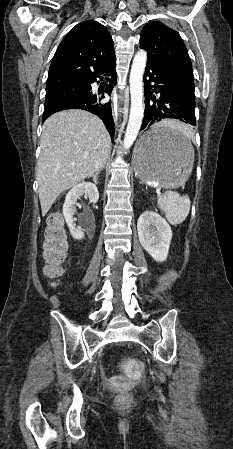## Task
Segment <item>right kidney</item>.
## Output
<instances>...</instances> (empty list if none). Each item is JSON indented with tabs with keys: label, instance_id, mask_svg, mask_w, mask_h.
Returning <instances> with one entry per match:
<instances>
[{
	"label": "right kidney",
	"instance_id": "1",
	"mask_svg": "<svg viewBox=\"0 0 233 449\" xmlns=\"http://www.w3.org/2000/svg\"><path fill=\"white\" fill-rule=\"evenodd\" d=\"M83 195L88 197L92 203H96L99 199V192L96 185L90 182H82L68 192L63 205L64 218L72 237L76 240H81L84 238V233L81 230L75 228V226L73 225L74 215L76 212L75 204L77 200Z\"/></svg>",
	"mask_w": 233,
	"mask_h": 449
}]
</instances>
